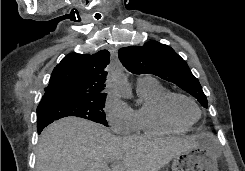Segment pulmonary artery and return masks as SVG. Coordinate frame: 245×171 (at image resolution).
I'll return each mask as SVG.
<instances>
[{"mask_svg":"<svg viewBox=\"0 0 245 171\" xmlns=\"http://www.w3.org/2000/svg\"><path fill=\"white\" fill-rule=\"evenodd\" d=\"M149 78H150V77H146V76L140 77V78H138L137 83H138V82H141V81H144V80H147V79H149Z\"/></svg>","mask_w":245,"mask_h":171,"instance_id":"obj_1","label":"pulmonary artery"}]
</instances>
